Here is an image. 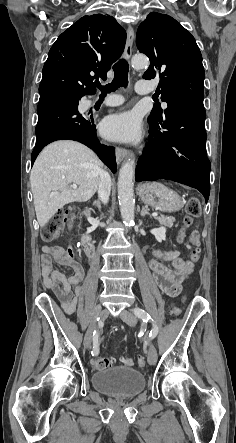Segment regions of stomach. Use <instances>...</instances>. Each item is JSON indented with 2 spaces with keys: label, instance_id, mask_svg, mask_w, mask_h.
Here are the masks:
<instances>
[{
  "label": "stomach",
  "instance_id": "0dacf381",
  "mask_svg": "<svg viewBox=\"0 0 236 443\" xmlns=\"http://www.w3.org/2000/svg\"><path fill=\"white\" fill-rule=\"evenodd\" d=\"M141 200L161 212H175L182 208L180 196L158 182L144 183L139 187Z\"/></svg>",
  "mask_w": 236,
  "mask_h": 443
}]
</instances>
